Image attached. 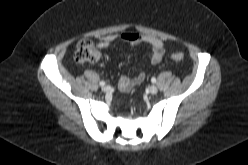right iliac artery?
<instances>
[{
	"label": "right iliac artery",
	"mask_w": 248,
	"mask_h": 165,
	"mask_svg": "<svg viewBox=\"0 0 248 165\" xmlns=\"http://www.w3.org/2000/svg\"><path fill=\"white\" fill-rule=\"evenodd\" d=\"M99 84H100V86H104L106 83H105V81H101Z\"/></svg>",
	"instance_id": "obj_1"
}]
</instances>
